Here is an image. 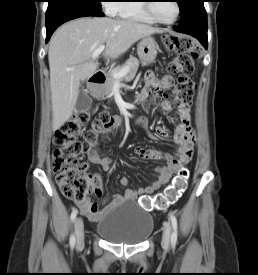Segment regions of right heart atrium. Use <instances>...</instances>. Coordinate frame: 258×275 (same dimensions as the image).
Listing matches in <instances>:
<instances>
[{"mask_svg":"<svg viewBox=\"0 0 258 275\" xmlns=\"http://www.w3.org/2000/svg\"><path fill=\"white\" fill-rule=\"evenodd\" d=\"M107 2H109L106 4L107 12L110 14H114V12L116 11L117 3H112L115 1H107Z\"/></svg>","mask_w":258,"mask_h":275,"instance_id":"obj_1","label":"right heart atrium"}]
</instances>
